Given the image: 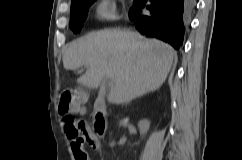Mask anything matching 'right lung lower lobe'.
Wrapping results in <instances>:
<instances>
[{
	"instance_id": "1",
	"label": "right lung lower lobe",
	"mask_w": 242,
	"mask_h": 160,
	"mask_svg": "<svg viewBox=\"0 0 242 160\" xmlns=\"http://www.w3.org/2000/svg\"><path fill=\"white\" fill-rule=\"evenodd\" d=\"M197 0H150L149 13L141 14L146 0H136L129 18L138 31L159 38L179 49L188 20Z\"/></svg>"
}]
</instances>
